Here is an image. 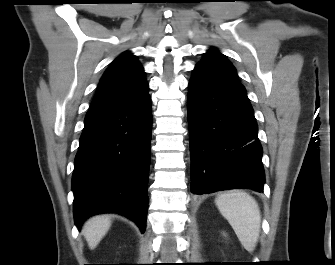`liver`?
I'll use <instances>...</instances> for the list:
<instances>
[{"instance_id": "obj_1", "label": "liver", "mask_w": 335, "mask_h": 265, "mask_svg": "<svg viewBox=\"0 0 335 265\" xmlns=\"http://www.w3.org/2000/svg\"><path fill=\"white\" fill-rule=\"evenodd\" d=\"M111 226L110 216L99 215L89 219L82 230V233L90 249H95L102 238L106 235Z\"/></svg>"}]
</instances>
